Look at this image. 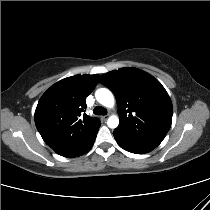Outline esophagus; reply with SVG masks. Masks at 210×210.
Here are the masks:
<instances>
[{"mask_svg":"<svg viewBox=\"0 0 210 210\" xmlns=\"http://www.w3.org/2000/svg\"><path fill=\"white\" fill-rule=\"evenodd\" d=\"M101 120H102V121H106V120H107V115L102 116V117H101Z\"/></svg>","mask_w":210,"mask_h":210,"instance_id":"esophagus-1","label":"esophagus"}]
</instances>
